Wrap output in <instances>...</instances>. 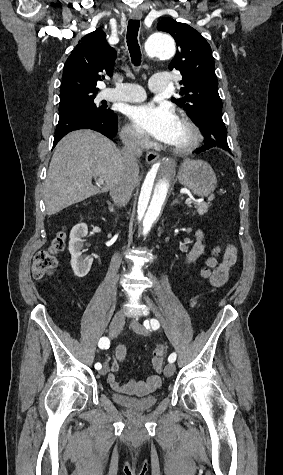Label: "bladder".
<instances>
[{"mask_svg": "<svg viewBox=\"0 0 283 475\" xmlns=\"http://www.w3.org/2000/svg\"><path fill=\"white\" fill-rule=\"evenodd\" d=\"M112 400L125 409L146 412L157 405L159 395L155 394L153 396L145 397H127L119 393H114L112 395Z\"/></svg>", "mask_w": 283, "mask_h": 475, "instance_id": "1", "label": "bladder"}]
</instances>
